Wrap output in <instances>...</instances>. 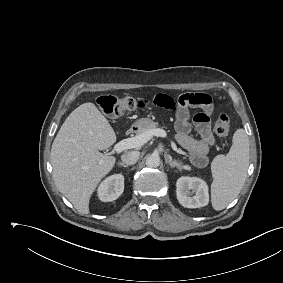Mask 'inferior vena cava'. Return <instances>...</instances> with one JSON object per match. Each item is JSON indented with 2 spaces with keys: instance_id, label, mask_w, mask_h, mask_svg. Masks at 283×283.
<instances>
[{
  "instance_id": "602c4592",
  "label": "inferior vena cava",
  "mask_w": 283,
  "mask_h": 283,
  "mask_svg": "<svg viewBox=\"0 0 283 283\" xmlns=\"http://www.w3.org/2000/svg\"><path fill=\"white\" fill-rule=\"evenodd\" d=\"M139 151H128L121 156V160L126 165H133L139 158Z\"/></svg>"
}]
</instances>
